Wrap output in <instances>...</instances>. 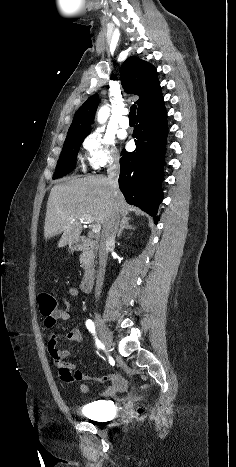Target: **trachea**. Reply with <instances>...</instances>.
I'll return each mask as SVG.
<instances>
[{
	"label": "trachea",
	"instance_id": "trachea-1",
	"mask_svg": "<svg viewBox=\"0 0 236 467\" xmlns=\"http://www.w3.org/2000/svg\"><path fill=\"white\" fill-rule=\"evenodd\" d=\"M129 119H136V105L130 107Z\"/></svg>",
	"mask_w": 236,
	"mask_h": 467
}]
</instances>
